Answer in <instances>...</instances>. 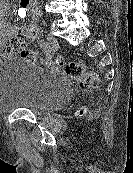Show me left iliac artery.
<instances>
[{
  "label": "left iliac artery",
  "mask_w": 133,
  "mask_h": 173,
  "mask_svg": "<svg viewBox=\"0 0 133 173\" xmlns=\"http://www.w3.org/2000/svg\"><path fill=\"white\" fill-rule=\"evenodd\" d=\"M39 44H40L41 46L44 45V44H45L44 40L41 39V40L39 41Z\"/></svg>",
  "instance_id": "1"
}]
</instances>
